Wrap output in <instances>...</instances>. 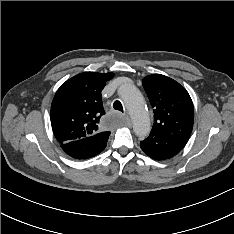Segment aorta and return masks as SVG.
<instances>
[{
	"instance_id": "1",
	"label": "aorta",
	"mask_w": 234,
	"mask_h": 234,
	"mask_svg": "<svg viewBox=\"0 0 234 234\" xmlns=\"http://www.w3.org/2000/svg\"><path fill=\"white\" fill-rule=\"evenodd\" d=\"M119 95L131 114L135 134L142 139L146 138L151 126L141 93L134 85L124 84L119 88Z\"/></svg>"
}]
</instances>
